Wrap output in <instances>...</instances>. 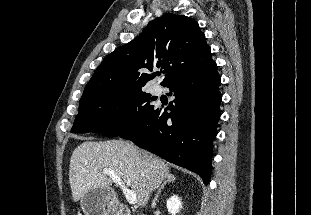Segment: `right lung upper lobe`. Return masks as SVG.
<instances>
[{
  "label": "right lung upper lobe",
  "instance_id": "right-lung-upper-lobe-1",
  "mask_svg": "<svg viewBox=\"0 0 311 215\" xmlns=\"http://www.w3.org/2000/svg\"><path fill=\"white\" fill-rule=\"evenodd\" d=\"M211 51L198 23L190 17L163 14L148 23L133 41L110 53L87 83L82 98L142 90L154 78L153 68L165 69L161 85L211 63Z\"/></svg>",
  "mask_w": 311,
  "mask_h": 215
}]
</instances>
